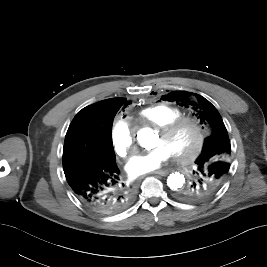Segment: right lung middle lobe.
I'll return each instance as SVG.
<instances>
[{
    "instance_id": "dd1d6c3e",
    "label": "right lung middle lobe",
    "mask_w": 267,
    "mask_h": 267,
    "mask_svg": "<svg viewBox=\"0 0 267 267\" xmlns=\"http://www.w3.org/2000/svg\"><path fill=\"white\" fill-rule=\"evenodd\" d=\"M126 106V105H125ZM120 106H113L109 108L105 115V123L110 125V131L108 134H106L104 137L98 136L96 139H93L91 141V144L89 146H86L83 148L84 151L80 152L77 156L74 158L71 157L73 151L71 147H67L66 150H64V159H63V169L64 172H68L70 170L75 169L76 167H79L81 165H84L86 163H91L93 160H115V155L113 151V144H112V138H111V132H112V124L113 119L120 109ZM84 126H76L71 125L69 126V129L67 131L64 146H68V143L70 142V139H72L73 135L76 134L77 131L81 129H85ZM71 159L69 160V158Z\"/></svg>"
}]
</instances>
